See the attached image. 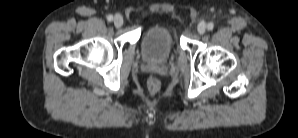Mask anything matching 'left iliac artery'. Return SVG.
Returning <instances> with one entry per match:
<instances>
[{
	"label": "left iliac artery",
	"mask_w": 298,
	"mask_h": 138,
	"mask_svg": "<svg viewBox=\"0 0 298 138\" xmlns=\"http://www.w3.org/2000/svg\"><path fill=\"white\" fill-rule=\"evenodd\" d=\"M213 28H214V24H213V23H208V25H207V29H208L209 31H211V30H213Z\"/></svg>",
	"instance_id": "1"
}]
</instances>
